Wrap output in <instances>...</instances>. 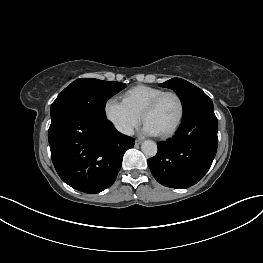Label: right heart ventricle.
Returning <instances> with one entry per match:
<instances>
[{"instance_id": "right-heart-ventricle-1", "label": "right heart ventricle", "mask_w": 263, "mask_h": 263, "mask_svg": "<svg viewBox=\"0 0 263 263\" xmlns=\"http://www.w3.org/2000/svg\"><path fill=\"white\" fill-rule=\"evenodd\" d=\"M162 92L164 90L161 88L139 85L127 90L123 94V101L132 111L142 115L146 105Z\"/></svg>"}]
</instances>
